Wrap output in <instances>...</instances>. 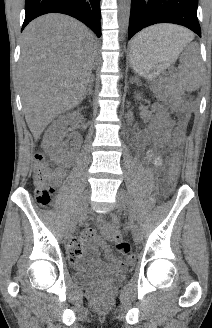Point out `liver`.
Here are the masks:
<instances>
[{
    "label": "liver",
    "instance_id": "liver-1",
    "mask_svg": "<svg viewBox=\"0 0 212 328\" xmlns=\"http://www.w3.org/2000/svg\"><path fill=\"white\" fill-rule=\"evenodd\" d=\"M155 40L187 44L194 35L174 25L150 27ZM96 55V37L81 22L60 14L33 20L24 30L19 81L27 125L38 139L59 114L83 99Z\"/></svg>",
    "mask_w": 212,
    "mask_h": 328
}]
</instances>
